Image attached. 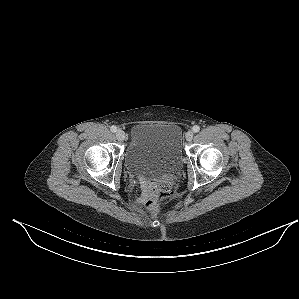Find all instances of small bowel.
Returning a JSON list of instances; mask_svg holds the SVG:
<instances>
[{"label":"small bowel","mask_w":299,"mask_h":299,"mask_svg":"<svg viewBox=\"0 0 299 299\" xmlns=\"http://www.w3.org/2000/svg\"><path fill=\"white\" fill-rule=\"evenodd\" d=\"M148 190H149V185L144 184L143 185V190H142V199L146 200L148 197Z\"/></svg>","instance_id":"small-bowel-1"}]
</instances>
